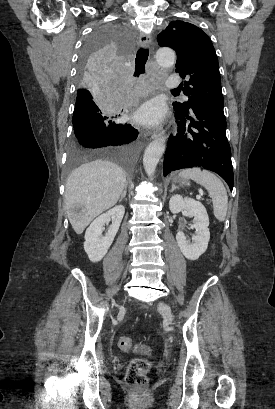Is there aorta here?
Wrapping results in <instances>:
<instances>
[{
    "mask_svg": "<svg viewBox=\"0 0 275 409\" xmlns=\"http://www.w3.org/2000/svg\"><path fill=\"white\" fill-rule=\"evenodd\" d=\"M156 60L160 66H172L176 60V54L171 48H160V50L156 52ZM164 150L165 140H163V138L152 140V142L146 146L143 164L148 176H152Z\"/></svg>",
    "mask_w": 275,
    "mask_h": 409,
    "instance_id": "obj_1",
    "label": "aorta"
}]
</instances>
